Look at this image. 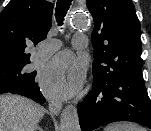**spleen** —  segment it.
Masks as SVG:
<instances>
[{"label": "spleen", "mask_w": 151, "mask_h": 131, "mask_svg": "<svg viewBox=\"0 0 151 131\" xmlns=\"http://www.w3.org/2000/svg\"><path fill=\"white\" fill-rule=\"evenodd\" d=\"M104 131H144V129L135 124L115 123L106 126Z\"/></svg>", "instance_id": "3e777b00"}]
</instances>
